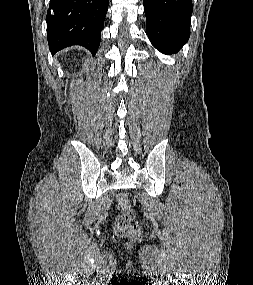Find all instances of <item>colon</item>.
Instances as JSON below:
<instances>
[{
    "mask_svg": "<svg viewBox=\"0 0 253 285\" xmlns=\"http://www.w3.org/2000/svg\"><path fill=\"white\" fill-rule=\"evenodd\" d=\"M117 205L119 214L115 219V231L122 237L134 239L140 234V227L134 221L135 212L132 209L131 202L128 196L120 193L117 196Z\"/></svg>",
    "mask_w": 253,
    "mask_h": 285,
    "instance_id": "obj_1",
    "label": "colon"
}]
</instances>
